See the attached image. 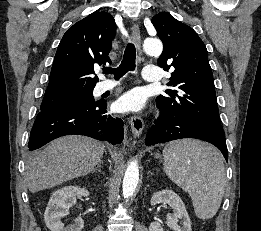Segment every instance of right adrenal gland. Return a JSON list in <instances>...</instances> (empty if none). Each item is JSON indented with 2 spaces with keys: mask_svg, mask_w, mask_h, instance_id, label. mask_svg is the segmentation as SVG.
I'll return each mask as SVG.
<instances>
[{
  "mask_svg": "<svg viewBox=\"0 0 261 231\" xmlns=\"http://www.w3.org/2000/svg\"><path fill=\"white\" fill-rule=\"evenodd\" d=\"M101 163H102V162H99V163L97 164V166L92 170V173L95 172V171L101 172Z\"/></svg>",
  "mask_w": 261,
  "mask_h": 231,
  "instance_id": "obj_1",
  "label": "right adrenal gland"
}]
</instances>
